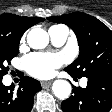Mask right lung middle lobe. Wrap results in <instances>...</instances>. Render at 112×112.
<instances>
[{"label":"right lung middle lobe","mask_w":112,"mask_h":112,"mask_svg":"<svg viewBox=\"0 0 112 112\" xmlns=\"http://www.w3.org/2000/svg\"><path fill=\"white\" fill-rule=\"evenodd\" d=\"M19 42L20 38H0V79L7 74L8 67H5V65L10 64L11 59L17 56Z\"/></svg>","instance_id":"1"}]
</instances>
